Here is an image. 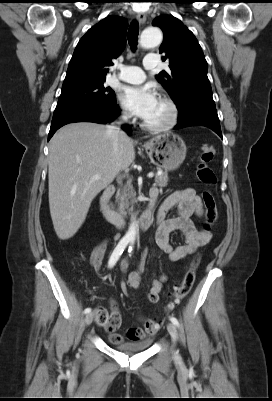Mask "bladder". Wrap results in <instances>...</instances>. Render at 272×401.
<instances>
[{"mask_svg": "<svg viewBox=\"0 0 272 401\" xmlns=\"http://www.w3.org/2000/svg\"><path fill=\"white\" fill-rule=\"evenodd\" d=\"M151 343H152L151 339H146L142 342H136V343H119L116 345V348L125 353H138L149 348Z\"/></svg>", "mask_w": 272, "mask_h": 401, "instance_id": "bladder-1", "label": "bladder"}]
</instances>
